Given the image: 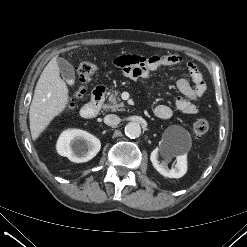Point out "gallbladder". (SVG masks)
I'll return each mask as SVG.
<instances>
[{
	"label": "gallbladder",
	"instance_id": "bac80fb5",
	"mask_svg": "<svg viewBox=\"0 0 247 247\" xmlns=\"http://www.w3.org/2000/svg\"><path fill=\"white\" fill-rule=\"evenodd\" d=\"M57 64L59 71L63 79L70 85L74 84L75 81V72L73 66L64 58H57Z\"/></svg>",
	"mask_w": 247,
	"mask_h": 247
}]
</instances>
